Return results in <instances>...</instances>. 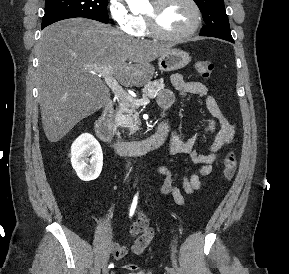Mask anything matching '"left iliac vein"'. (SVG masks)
I'll list each match as a JSON object with an SVG mask.
<instances>
[{
    "label": "left iliac vein",
    "mask_w": 289,
    "mask_h": 274,
    "mask_svg": "<svg viewBox=\"0 0 289 274\" xmlns=\"http://www.w3.org/2000/svg\"><path fill=\"white\" fill-rule=\"evenodd\" d=\"M169 274H177L176 271L173 268H170L168 271Z\"/></svg>",
    "instance_id": "1"
}]
</instances>
